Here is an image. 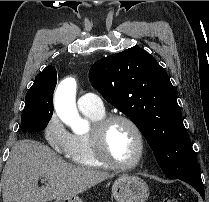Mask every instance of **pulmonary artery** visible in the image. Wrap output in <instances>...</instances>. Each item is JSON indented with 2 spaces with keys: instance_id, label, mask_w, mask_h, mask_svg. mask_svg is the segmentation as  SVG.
<instances>
[{
  "instance_id": "pulmonary-artery-1",
  "label": "pulmonary artery",
  "mask_w": 209,
  "mask_h": 202,
  "mask_svg": "<svg viewBox=\"0 0 209 202\" xmlns=\"http://www.w3.org/2000/svg\"><path fill=\"white\" fill-rule=\"evenodd\" d=\"M77 106L80 111L104 112V104L101 97L94 92H87L81 95L77 100Z\"/></svg>"
}]
</instances>
